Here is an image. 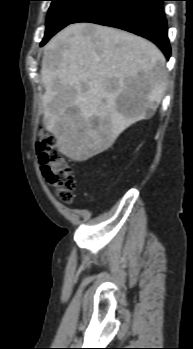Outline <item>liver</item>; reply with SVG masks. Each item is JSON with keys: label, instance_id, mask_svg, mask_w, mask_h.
<instances>
[{"label": "liver", "instance_id": "obj_1", "mask_svg": "<svg viewBox=\"0 0 193 349\" xmlns=\"http://www.w3.org/2000/svg\"><path fill=\"white\" fill-rule=\"evenodd\" d=\"M41 78L45 128L62 154L85 161L153 115L165 90V57L132 33L76 23L44 47Z\"/></svg>", "mask_w": 193, "mask_h": 349}]
</instances>
